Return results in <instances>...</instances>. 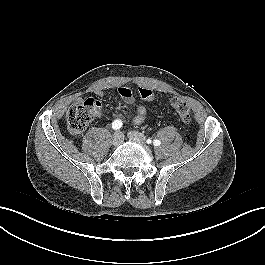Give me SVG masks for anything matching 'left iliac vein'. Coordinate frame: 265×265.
<instances>
[{"mask_svg":"<svg viewBox=\"0 0 265 265\" xmlns=\"http://www.w3.org/2000/svg\"><path fill=\"white\" fill-rule=\"evenodd\" d=\"M128 137L130 140L141 143V144H144L146 141L145 136L142 133H139L137 131H130L128 133Z\"/></svg>","mask_w":265,"mask_h":265,"instance_id":"left-iliac-vein-1","label":"left iliac vein"}]
</instances>
